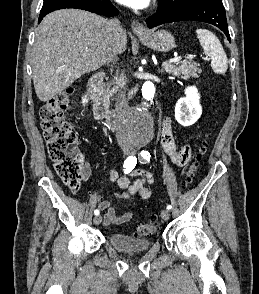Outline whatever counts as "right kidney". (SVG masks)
Instances as JSON below:
<instances>
[{
	"instance_id": "ca27d5eb",
	"label": "right kidney",
	"mask_w": 259,
	"mask_h": 294,
	"mask_svg": "<svg viewBox=\"0 0 259 294\" xmlns=\"http://www.w3.org/2000/svg\"><path fill=\"white\" fill-rule=\"evenodd\" d=\"M87 102H88V100L86 99V97L83 98V103H87Z\"/></svg>"
}]
</instances>
